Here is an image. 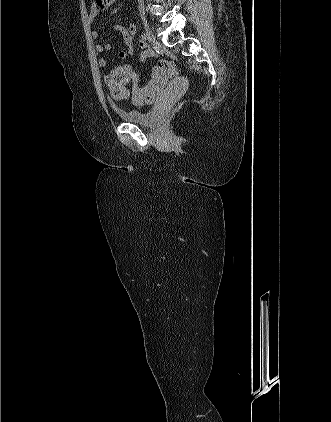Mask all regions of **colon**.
I'll return each instance as SVG.
<instances>
[{"mask_svg": "<svg viewBox=\"0 0 331 422\" xmlns=\"http://www.w3.org/2000/svg\"><path fill=\"white\" fill-rule=\"evenodd\" d=\"M178 73V68L173 62L161 60L157 63L153 74L158 80H165L176 77ZM137 77V73L129 66L115 68L109 74L108 83V89L112 97L117 100L127 98L130 95L128 83ZM138 99L142 102L147 101V99L143 97H138Z\"/></svg>", "mask_w": 331, "mask_h": 422, "instance_id": "1", "label": "colon"}]
</instances>
